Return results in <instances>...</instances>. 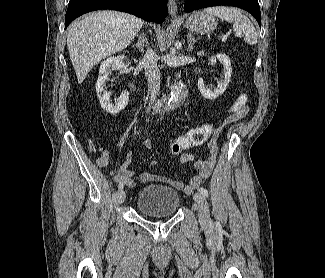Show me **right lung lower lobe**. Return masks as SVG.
I'll return each mask as SVG.
<instances>
[{
	"label": "right lung lower lobe",
	"mask_w": 325,
	"mask_h": 278,
	"mask_svg": "<svg viewBox=\"0 0 325 278\" xmlns=\"http://www.w3.org/2000/svg\"><path fill=\"white\" fill-rule=\"evenodd\" d=\"M98 9L127 12L156 23H162L168 15L167 0H70L65 28L82 14Z\"/></svg>",
	"instance_id": "right-lung-lower-lobe-1"
}]
</instances>
